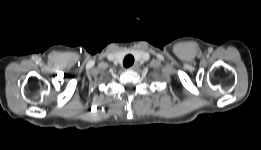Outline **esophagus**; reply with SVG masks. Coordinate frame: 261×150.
I'll return each mask as SVG.
<instances>
[{
	"label": "esophagus",
	"mask_w": 261,
	"mask_h": 150,
	"mask_svg": "<svg viewBox=\"0 0 261 150\" xmlns=\"http://www.w3.org/2000/svg\"><path fill=\"white\" fill-rule=\"evenodd\" d=\"M136 67H137V65L134 64V65L130 66L129 69L134 70V69H136Z\"/></svg>",
	"instance_id": "obj_1"
}]
</instances>
